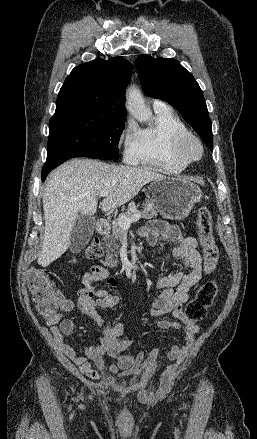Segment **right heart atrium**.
<instances>
[{
	"instance_id": "1",
	"label": "right heart atrium",
	"mask_w": 257,
	"mask_h": 439,
	"mask_svg": "<svg viewBox=\"0 0 257 439\" xmlns=\"http://www.w3.org/2000/svg\"><path fill=\"white\" fill-rule=\"evenodd\" d=\"M120 143L124 161L133 163L138 155L139 130L131 119L127 121L122 131Z\"/></svg>"
}]
</instances>
